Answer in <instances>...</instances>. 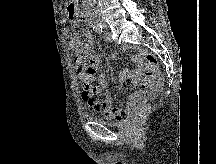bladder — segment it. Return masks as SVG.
I'll use <instances>...</instances> for the list:
<instances>
[{"instance_id":"obj_1","label":"bladder","mask_w":216,"mask_h":164,"mask_svg":"<svg viewBox=\"0 0 216 164\" xmlns=\"http://www.w3.org/2000/svg\"><path fill=\"white\" fill-rule=\"evenodd\" d=\"M93 119L102 124V125H106V126H113V127H118V126H122L123 124H125V120H120V121H109L103 118H99V117H93Z\"/></svg>"}]
</instances>
